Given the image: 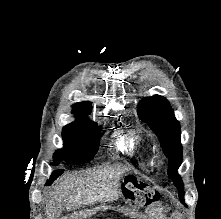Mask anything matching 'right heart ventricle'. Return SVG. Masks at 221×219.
<instances>
[{"label":"right heart ventricle","instance_id":"1","mask_svg":"<svg viewBox=\"0 0 221 219\" xmlns=\"http://www.w3.org/2000/svg\"><path fill=\"white\" fill-rule=\"evenodd\" d=\"M117 148L140 162L150 163L152 155L143 132L139 129L132 130L121 136L117 141Z\"/></svg>","mask_w":221,"mask_h":219}]
</instances>
